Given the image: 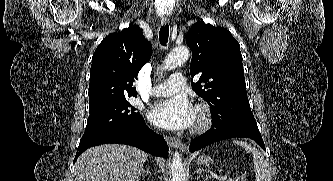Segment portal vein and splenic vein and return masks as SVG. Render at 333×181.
I'll use <instances>...</instances> for the list:
<instances>
[{
    "instance_id": "1",
    "label": "portal vein and splenic vein",
    "mask_w": 333,
    "mask_h": 181,
    "mask_svg": "<svg viewBox=\"0 0 333 181\" xmlns=\"http://www.w3.org/2000/svg\"><path fill=\"white\" fill-rule=\"evenodd\" d=\"M226 179H227L226 176H220V177H218V180H219V181H225Z\"/></svg>"
}]
</instances>
